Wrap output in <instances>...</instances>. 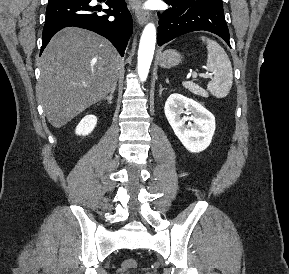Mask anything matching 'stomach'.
Here are the masks:
<instances>
[{"instance_id":"1","label":"stomach","mask_w":289,"mask_h":274,"mask_svg":"<svg viewBox=\"0 0 289 274\" xmlns=\"http://www.w3.org/2000/svg\"><path fill=\"white\" fill-rule=\"evenodd\" d=\"M181 60L182 56L178 51L168 49L160 54L159 64L162 68H172L179 65Z\"/></svg>"}]
</instances>
